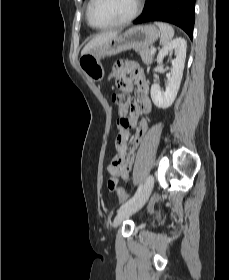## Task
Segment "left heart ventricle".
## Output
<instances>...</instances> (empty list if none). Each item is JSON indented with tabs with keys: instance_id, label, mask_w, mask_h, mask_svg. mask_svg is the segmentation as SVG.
I'll list each match as a JSON object with an SVG mask.
<instances>
[{
	"instance_id": "obj_1",
	"label": "left heart ventricle",
	"mask_w": 229,
	"mask_h": 280,
	"mask_svg": "<svg viewBox=\"0 0 229 280\" xmlns=\"http://www.w3.org/2000/svg\"><path fill=\"white\" fill-rule=\"evenodd\" d=\"M136 0H98L93 11V21L105 25L128 17L134 10Z\"/></svg>"
}]
</instances>
